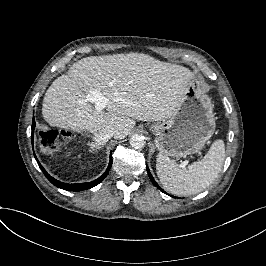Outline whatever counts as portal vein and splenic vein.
<instances>
[{
    "label": "portal vein and splenic vein",
    "mask_w": 266,
    "mask_h": 266,
    "mask_svg": "<svg viewBox=\"0 0 266 266\" xmlns=\"http://www.w3.org/2000/svg\"><path fill=\"white\" fill-rule=\"evenodd\" d=\"M108 99L106 97H104L98 90L92 91L90 93H88L85 97L84 100H80V103H84V102H91L95 104V110L97 112H101L102 110H104L107 106L108 103ZM123 103L129 104V105H133L132 102H127L125 100H122ZM188 164V161L185 160L182 163V166L185 167Z\"/></svg>",
    "instance_id": "obj_1"
}]
</instances>
